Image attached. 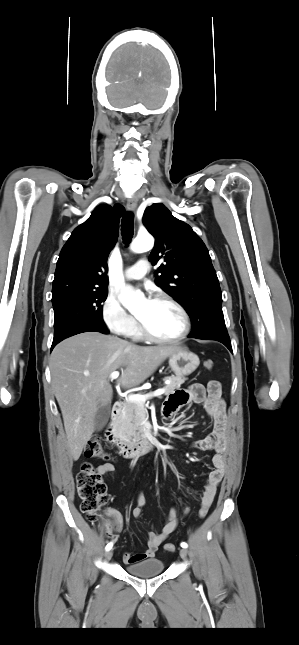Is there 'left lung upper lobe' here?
I'll return each mask as SVG.
<instances>
[{
	"mask_svg": "<svg viewBox=\"0 0 299 645\" xmlns=\"http://www.w3.org/2000/svg\"><path fill=\"white\" fill-rule=\"evenodd\" d=\"M143 223L156 241L149 261L164 263L156 283L176 298L193 323L190 335L203 336L224 325L222 292L209 252L192 228L161 203L147 207Z\"/></svg>",
	"mask_w": 299,
	"mask_h": 645,
	"instance_id": "obj_1",
	"label": "left lung upper lobe"
}]
</instances>
